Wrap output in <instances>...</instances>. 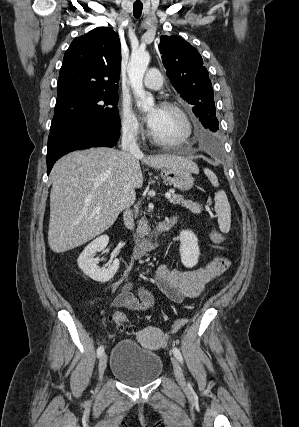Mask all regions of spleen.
<instances>
[{
    "mask_svg": "<svg viewBox=\"0 0 299 427\" xmlns=\"http://www.w3.org/2000/svg\"><path fill=\"white\" fill-rule=\"evenodd\" d=\"M204 173L214 187L219 186L217 176L210 169L205 168ZM214 200L219 228L223 233H227L231 226V207L227 195L223 190H220L215 193Z\"/></svg>",
    "mask_w": 299,
    "mask_h": 427,
    "instance_id": "3e777b00",
    "label": "spleen"
}]
</instances>
